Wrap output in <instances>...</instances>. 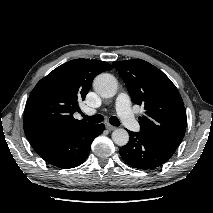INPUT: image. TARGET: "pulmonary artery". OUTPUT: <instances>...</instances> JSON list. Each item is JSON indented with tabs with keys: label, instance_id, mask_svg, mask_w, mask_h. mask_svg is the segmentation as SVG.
<instances>
[{
	"label": "pulmonary artery",
	"instance_id": "e3ab8cb5",
	"mask_svg": "<svg viewBox=\"0 0 213 213\" xmlns=\"http://www.w3.org/2000/svg\"><path fill=\"white\" fill-rule=\"evenodd\" d=\"M116 110L125 127L131 131H139V123L131 111L129 97L126 93H120L118 95L116 100ZM95 112L94 109L88 108L85 110V113L88 115H92Z\"/></svg>",
	"mask_w": 213,
	"mask_h": 213
}]
</instances>
